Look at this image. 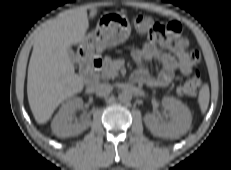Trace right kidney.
I'll return each instance as SVG.
<instances>
[{"mask_svg": "<svg viewBox=\"0 0 231 170\" xmlns=\"http://www.w3.org/2000/svg\"><path fill=\"white\" fill-rule=\"evenodd\" d=\"M82 107L83 100L81 98H73L62 105L51 124L52 131L57 137L77 136L89 128L91 125L89 119L71 123L72 114Z\"/></svg>", "mask_w": 231, "mask_h": 170, "instance_id": "1", "label": "right kidney"}]
</instances>
